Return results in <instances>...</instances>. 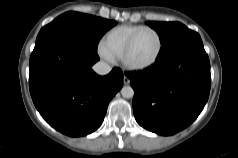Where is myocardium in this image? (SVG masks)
I'll list each match as a JSON object with an SVG mask.
<instances>
[{
    "mask_svg": "<svg viewBox=\"0 0 238 158\" xmlns=\"http://www.w3.org/2000/svg\"><path fill=\"white\" fill-rule=\"evenodd\" d=\"M144 31H152L153 33L156 34L157 38H158V43H159V46H158V51L155 55V57L148 63H145V64H141V65H135V64H132L129 62V55L134 47V44L138 38V36L144 32ZM163 38L160 34V32L153 28V27H149V26H144L142 28H140L139 30H137L132 36L131 38L129 39V41L127 42L124 50H123V53L121 55V61L124 65L125 68H127L128 70H131V71H142V70H146V69H149L151 68L152 66H154L157 61L159 60L161 54H162V51H163Z\"/></svg>",
    "mask_w": 238,
    "mask_h": 158,
    "instance_id": "myocardium-1",
    "label": "myocardium"
}]
</instances>
